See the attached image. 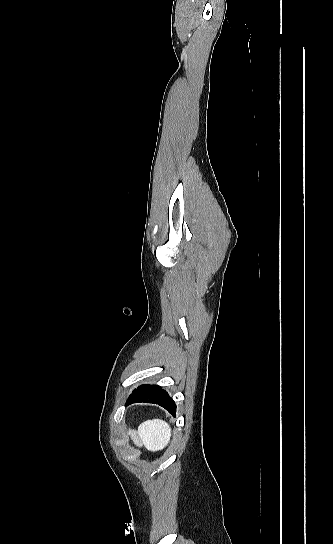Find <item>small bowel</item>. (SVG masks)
<instances>
[{"label": "small bowel", "instance_id": "small-bowel-1", "mask_svg": "<svg viewBox=\"0 0 333 544\" xmlns=\"http://www.w3.org/2000/svg\"><path fill=\"white\" fill-rule=\"evenodd\" d=\"M132 437H133L134 441L136 442V444L140 443V440H139L137 435L133 434Z\"/></svg>", "mask_w": 333, "mask_h": 544}]
</instances>
